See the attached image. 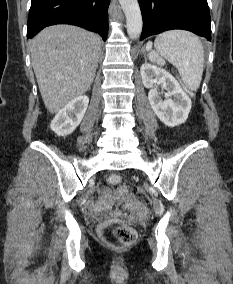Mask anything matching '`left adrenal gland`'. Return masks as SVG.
I'll list each match as a JSON object with an SVG mask.
<instances>
[{
  "label": "left adrenal gland",
  "instance_id": "1",
  "mask_svg": "<svg viewBox=\"0 0 233 284\" xmlns=\"http://www.w3.org/2000/svg\"><path fill=\"white\" fill-rule=\"evenodd\" d=\"M141 52L144 54V56H146L144 47L141 49Z\"/></svg>",
  "mask_w": 233,
  "mask_h": 284
}]
</instances>
